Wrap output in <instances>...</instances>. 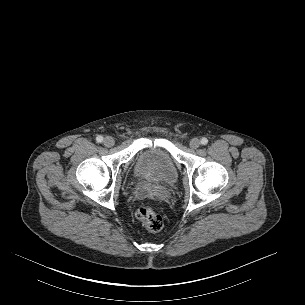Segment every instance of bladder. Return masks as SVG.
Returning a JSON list of instances; mask_svg holds the SVG:
<instances>
[{
    "label": "bladder",
    "instance_id": "bladder-1",
    "mask_svg": "<svg viewBox=\"0 0 305 305\" xmlns=\"http://www.w3.org/2000/svg\"><path fill=\"white\" fill-rule=\"evenodd\" d=\"M135 174L141 181L173 184L178 177L176 164L170 153L161 147L141 150L136 157Z\"/></svg>",
    "mask_w": 305,
    "mask_h": 305
}]
</instances>
